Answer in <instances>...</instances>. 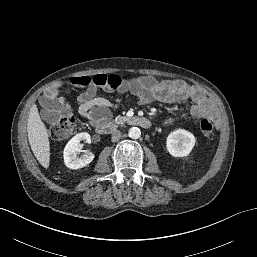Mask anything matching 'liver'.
Listing matches in <instances>:
<instances>
[{
	"label": "liver",
	"instance_id": "6515ba94",
	"mask_svg": "<svg viewBox=\"0 0 257 257\" xmlns=\"http://www.w3.org/2000/svg\"><path fill=\"white\" fill-rule=\"evenodd\" d=\"M27 132L33 154L44 168H48L50 163L48 130L41 120L38 108L35 104L31 107L29 112Z\"/></svg>",
	"mask_w": 257,
	"mask_h": 257
}]
</instances>
